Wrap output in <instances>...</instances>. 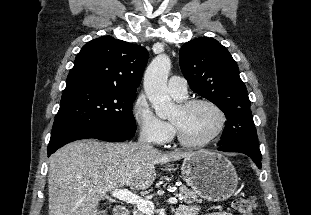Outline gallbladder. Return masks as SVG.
<instances>
[{"instance_id": "obj_1", "label": "gallbladder", "mask_w": 311, "mask_h": 215, "mask_svg": "<svg viewBox=\"0 0 311 215\" xmlns=\"http://www.w3.org/2000/svg\"><path fill=\"white\" fill-rule=\"evenodd\" d=\"M102 214H103V211H100V212H99V215H102Z\"/></svg>"}]
</instances>
